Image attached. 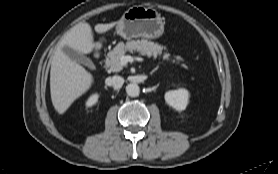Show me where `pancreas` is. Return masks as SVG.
Segmentation results:
<instances>
[{
    "label": "pancreas",
    "instance_id": "cf45deb5",
    "mask_svg": "<svg viewBox=\"0 0 278 174\" xmlns=\"http://www.w3.org/2000/svg\"><path fill=\"white\" fill-rule=\"evenodd\" d=\"M163 49L165 48L160 44L148 41L146 39L132 40L126 43L119 42L115 48L108 53L105 65L110 71L119 72L123 69L120 59L123 55H125L126 52H139L141 55L157 58L158 56H161ZM162 58L164 60H170V55L168 53H164ZM181 61L182 59L180 57H175V59L172 60L173 63H180ZM182 66L184 68L187 67L185 64H182Z\"/></svg>",
    "mask_w": 278,
    "mask_h": 174
}]
</instances>
